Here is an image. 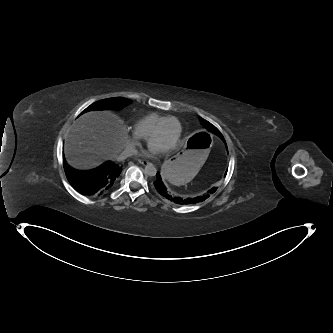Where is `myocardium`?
Segmentation results:
<instances>
[{
	"mask_svg": "<svg viewBox=\"0 0 333 333\" xmlns=\"http://www.w3.org/2000/svg\"><path fill=\"white\" fill-rule=\"evenodd\" d=\"M170 120H174L177 123L179 130H180L179 120L175 116H169V117L165 118L163 121H161L158 124V126L153 130V132L150 134V136L148 137L149 143H152L153 139L162 131L164 125ZM178 142H179V138L177 136L176 139L174 140V142L169 147L166 148V151H171V150L175 149L176 146L178 145Z\"/></svg>",
	"mask_w": 333,
	"mask_h": 333,
	"instance_id": "obj_1",
	"label": "myocardium"
}]
</instances>
